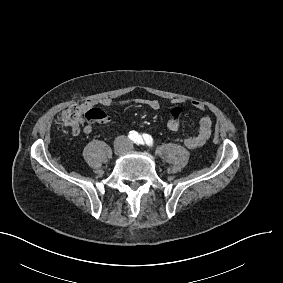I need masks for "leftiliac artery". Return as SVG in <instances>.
I'll list each match as a JSON object with an SVG mask.
<instances>
[{"mask_svg":"<svg viewBox=\"0 0 283 283\" xmlns=\"http://www.w3.org/2000/svg\"><path fill=\"white\" fill-rule=\"evenodd\" d=\"M136 144H141V145H148V146H153V139L149 134H143L142 136L139 135Z\"/></svg>","mask_w":283,"mask_h":283,"instance_id":"obj_1","label":"left iliac artery"}]
</instances>
